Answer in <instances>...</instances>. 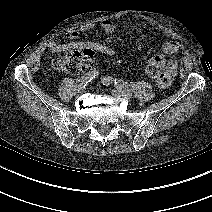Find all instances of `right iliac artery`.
<instances>
[{"mask_svg":"<svg viewBox=\"0 0 212 212\" xmlns=\"http://www.w3.org/2000/svg\"><path fill=\"white\" fill-rule=\"evenodd\" d=\"M98 71H90L77 80L76 89L85 88V86L98 76Z\"/></svg>","mask_w":212,"mask_h":212,"instance_id":"82829eb1","label":"right iliac artery"}]
</instances>
